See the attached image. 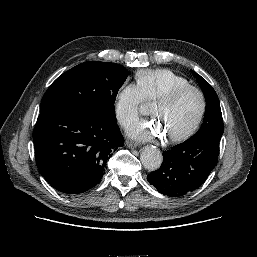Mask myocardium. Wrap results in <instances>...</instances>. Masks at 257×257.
Instances as JSON below:
<instances>
[{
    "label": "myocardium",
    "instance_id": "obj_1",
    "mask_svg": "<svg viewBox=\"0 0 257 257\" xmlns=\"http://www.w3.org/2000/svg\"><path fill=\"white\" fill-rule=\"evenodd\" d=\"M188 92H194L199 97V100H200L199 113H198L195 121L192 123V125L187 130H185L184 132H182L178 135L168 137V139L171 142L184 141V140L190 138L198 130V128L200 127V125L205 117L206 110H207L206 97H205L203 91L201 89H199L198 87H195L192 85H187V86L178 87V88H175V89L169 91L168 93L157 98L153 103V104L169 105V104H172L175 101H177L181 96H183L184 94H186Z\"/></svg>",
    "mask_w": 257,
    "mask_h": 257
}]
</instances>
